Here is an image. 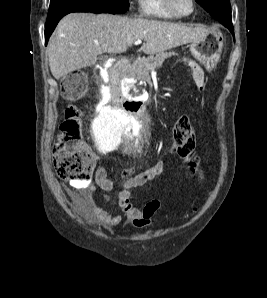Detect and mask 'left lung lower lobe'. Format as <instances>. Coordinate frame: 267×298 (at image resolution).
I'll list each match as a JSON object with an SVG mask.
<instances>
[{
    "mask_svg": "<svg viewBox=\"0 0 267 298\" xmlns=\"http://www.w3.org/2000/svg\"><path fill=\"white\" fill-rule=\"evenodd\" d=\"M219 22L222 23L225 27H227L232 34L234 33V29H233L231 18L229 20H227V21H219Z\"/></svg>",
    "mask_w": 267,
    "mask_h": 298,
    "instance_id": "0a47b994",
    "label": "left lung lower lobe"
}]
</instances>
